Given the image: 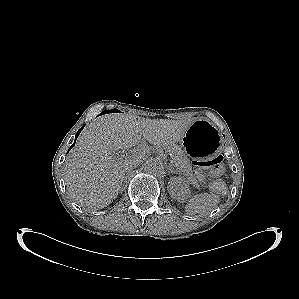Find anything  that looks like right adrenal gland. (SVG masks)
<instances>
[{"mask_svg":"<svg viewBox=\"0 0 299 299\" xmlns=\"http://www.w3.org/2000/svg\"><path fill=\"white\" fill-rule=\"evenodd\" d=\"M126 179H127V177L125 176V177H124V182L126 181ZM121 190H123V187H122V189H121Z\"/></svg>","mask_w":299,"mask_h":299,"instance_id":"right-adrenal-gland-1","label":"right adrenal gland"}]
</instances>
